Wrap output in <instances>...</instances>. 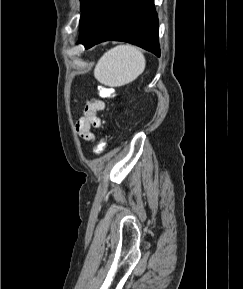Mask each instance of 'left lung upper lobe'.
I'll return each mask as SVG.
<instances>
[{
    "label": "left lung upper lobe",
    "instance_id": "obj_1",
    "mask_svg": "<svg viewBox=\"0 0 243 289\" xmlns=\"http://www.w3.org/2000/svg\"><path fill=\"white\" fill-rule=\"evenodd\" d=\"M81 1V10H83V8L86 6V4L90 1V0H80Z\"/></svg>",
    "mask_w": 243,
    "mask_h": 289
}]
</instances>
